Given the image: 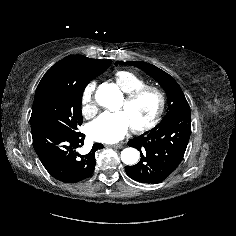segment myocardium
<instances>
[{
	"label": "myocardium",
	"instance_id": "obj_1",
	"mask_svg": "<svg viewBox=\"0 0 236 236\" xmlns=\"http://www.w3.org/2000/svg\"><path fill=\"white\" fill-rule=\"evenodd\" d=\"M147 93H153L157 97V100H158L157 110L154 116L148 122L142 125L132 126V129L135 132H146L154 128L160 122L163 116L164 110H165V106H166L165 94L160 88L153 85H145L143 87H140L138 89H135L127 93L125 95L124 102L126 104H130Z\"/></svg>",
	"mask_w": 236,
	"mask_h": 236
}]
</instances>
